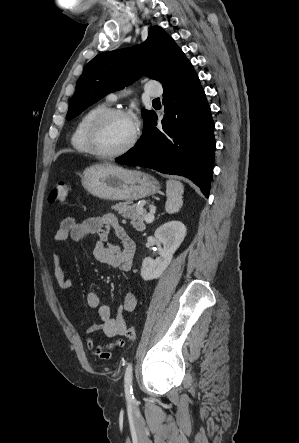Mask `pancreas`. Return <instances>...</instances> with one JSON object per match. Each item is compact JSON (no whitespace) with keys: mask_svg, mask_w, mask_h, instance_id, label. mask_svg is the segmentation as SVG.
Listing matches in <instances>:
<instances>
[{"mask_svg":"<svg viewBox=\"0 0 299 443\" xmlns=\"http://www.w3.org/2000/svg\"><path fill=\"white\" fill-rule=\"evenodd\" d=\"M114 210H117L118 213L130 220L131 225L137 231H144L146 225L144 223L147 213L145 210L141 208H137V205L133 204L132 201L119 202L112 206Z\"/></svg>","mask_w":299,"mask_h":443,"instance_id":"cf45deb5","label":"pancreas"}]
</instances>
